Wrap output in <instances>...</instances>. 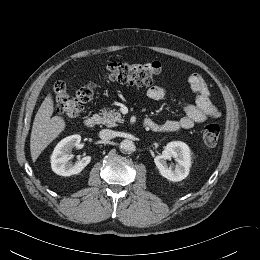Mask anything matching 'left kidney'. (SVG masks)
<instances>
[{
    "mask_svg": "<svg viewBox=\"0 0 260 260\" xmlns=\"http://www.w3.org/2000/svg\"><path fill=\"white\" fill-rule=\"evenodd\" d=\"M171 158H175L176 164L167 163V160H171ZM154 163L163 177L178 182L185 179L189 174L191 151L184 142L173 141L166 145L162 154L154 158Z\"/></svg>",
    "mask_w": 260,
    "mask_h": 260,
    "instance_id": "5707ae66",
    "label": "left kidney"
}]
</instances>
